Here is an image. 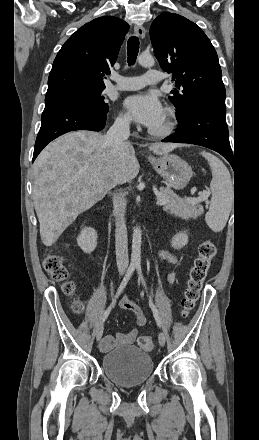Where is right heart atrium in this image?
<instances>
[{"label": "right heart atrium", "mask_w": 259, "mask_h": 440, "mask_svg": "<svg viewBox=\"0 0 259 440\" xmlns=\"http://www.w3.org/2000/svg\"><path fill=\"white\" fill-rule=\"evenodd\" d=\"M129 123H130V119L128 115H126L125 113L121 112L116 117V125L119 127L125 128L129 125Z\"/></svg>", "instance_id": "d8ad5b80"}]
</instances>
